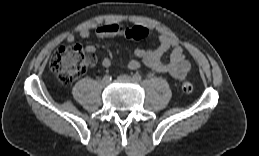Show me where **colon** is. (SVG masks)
<instances>
[{
    "instance_id": "5ec220e1",
    "label": "colon",
    "mask_w": 259,
    "mask_h": 156,
    "mask_svg": "<svg viewBox=\"0 0 259 156\" xmlns=\"http://www.w3.org/2000/svg\"><path fill=\"white\" fill-rule=\"evenodd\" d=\"M147 35V30L143 27H134L125 30L123 37L133 40H141ZM81 46H63L52 55L50 59V69L56 75L57 80L62 85H68L81 76L89 63ZM181 89L185 94L193 92V84L184 81Z\"/></svg>"
}]
</instances>
